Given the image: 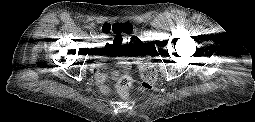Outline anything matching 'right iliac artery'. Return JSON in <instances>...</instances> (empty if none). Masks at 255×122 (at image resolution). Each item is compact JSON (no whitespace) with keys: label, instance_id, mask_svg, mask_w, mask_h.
I'll use <instances>...</instances> for the list:
<instances>
[{"label":"right iliac artery","instance_id":"82829eb1","mask_svg":"<svg viewBox=\"0 0 255 122\" xmlns=\"http://www.w3.org/2000/svg\"><path fill=\"white\" fill-rule=\"evenodd\" d=\"M90 35H91L92 37H94V36L96 35V33H95L94 31H91V32H90Z\"/></svg>","mask_w":255,"mask_h":122}]
</instances>
